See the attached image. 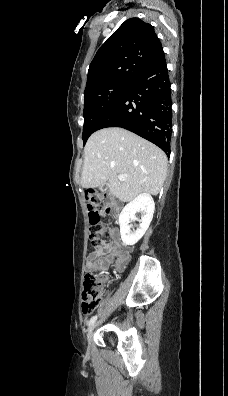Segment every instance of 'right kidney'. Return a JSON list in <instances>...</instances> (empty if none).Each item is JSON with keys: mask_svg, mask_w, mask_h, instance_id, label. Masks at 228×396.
I'll return each mask as SVG.
<instances>
[{"mask_svg": "<svg viewBox=\"0 0 228 396\" xmlns=\"http://www.w3.org/2000/svg\"><path fill=\"white\" fill-rule=\"evenodd\" d=\"M155 210V203L152 196L142 193L129 202L119 215L120 235L124 244L134 245L145 234L148 229ZM141 212V219L136 218V213ZM138 220L140 222L136 231H131L129 223Z\"/></svg>", "mask_w": 228, "mask_h": 396, "instance_id": "1", "label": "right kidney"}]
</instances>
